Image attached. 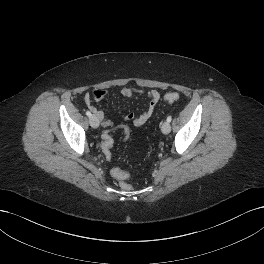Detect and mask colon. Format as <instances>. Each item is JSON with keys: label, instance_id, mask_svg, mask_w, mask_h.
<instances>
[{"label": "colon", "instance_id": "colon-1", "mask_svg": "<svg viewBox=\"0 0 264 264\" xmlns=\"http://www.w3.org/2000/svg\"><path fill=\"white\" fill-rule=\"evenodd\" d=\"M180 98L179 94L176 92H168L164 95V100L170 103L178 101ZM102 148L105 154H111V148L114 144V140L109 131H105L102 134ZM129 174L119 170L115 173V178L120 180V186L123 190L130 191L132 186L127 183L125 180L128 179Z\"/></svg>", "mask_w": 264, "mask_h": 264}]
</instances>
